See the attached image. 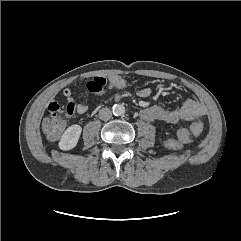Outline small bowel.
I'll list each match as a JSON object with an SVG mask.
<instances>
[{
    "label": "small bowel",
    "instance_id": "obj_1",
    "mask_svg": "<svg viewBox=\"0 0 241 241\" xmlns=\"http://www.w3.org/2000/svg\"><path fill=\"white\" fill-rule=\"evenodd\" d=\"M110 86L118 90L126 89V81L121 76H111L109 77ZM64 96L67 98L68 102H73L72 91L69 88L64 89ZM151 94V89L148 87H143L138 91V96L141 98H146ZM76 111L79 114H84L88 111V106L86 104H76ZM205 115V108L203 104L196 99H187L181 106L177 108H167L163 105L157 104L153 106L145 107L141 110L140 116L146 121H157L162 120L167 123L179 124L182 122H195L200 121ZM190 127H181L178 130V138L184 143L191 142L194 138L189 133Z\"/></svg>",
    "mask_w": 241,
    "mask_h": 241
}]
</instances>
